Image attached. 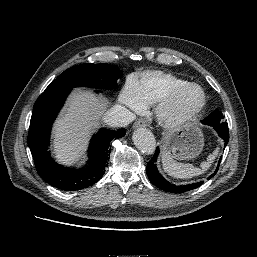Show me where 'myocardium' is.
<instances>
[{
  "mask_svg": "<svg viewBox=\"0 0 257 257\" xmlns=\"http://www.w3.org/2000/svg\"><path fill=\"white\" fill-rule=\"evenodd\" d=\"M190 89H198L201 92L202 98L199 105L194 110L186 114L172 113L171 108L175 101L179 96ZM206 103L207 96L204 89L196 83H188L172 90L161 102H159L156 108V114L162 125L168 128H176L197 119L203 112Z\"/></svg>",
  "mask_w": 257,
  "mask_h": 257,
  "instance_id": "myocardium-1",
  "label": "myocardium"
}]
</instances>
